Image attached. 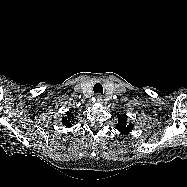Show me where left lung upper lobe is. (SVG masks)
Returning <instances> with one entry per match:
<instances>
[{
	"instance_id": "5c2ea615",
	"label": "left lung upper lobe",
	"mask_w": 187,
	"mask_h": 187,
	"mask_svg": "<svg viewBox=\"0 0 187 187\" xmlns=\"http://www.w3.org/2000/svg\"><path fill=\"white\" fill-rule=\"evenodd\" d=\"M116 128L121 133H129L133 129V124L127 122V117L125 115L119 116L118 124Z\"/></svg>"
}]
</instances>
